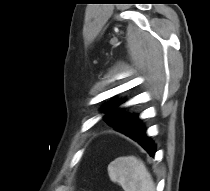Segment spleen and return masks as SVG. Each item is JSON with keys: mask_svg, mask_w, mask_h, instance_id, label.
Listing matches in <instances>:
<instances>
[{"mask_svg": "<svg viewBox=\"0 0 210 191\" xmlns=\"http://www.w3.org/2000/svg\"><path fill=\"white\" fill-rule=\"evenodd\" d=\"M110 180L124 191H155L151 174L145 164L134 156L116 158L108 165Z\"/></svg>", "mask_w": 210, "mask_h": 191, "instance_id": "1", "label": "spleen"}]
</instances>
